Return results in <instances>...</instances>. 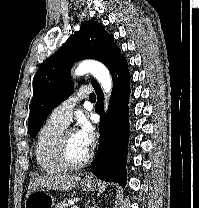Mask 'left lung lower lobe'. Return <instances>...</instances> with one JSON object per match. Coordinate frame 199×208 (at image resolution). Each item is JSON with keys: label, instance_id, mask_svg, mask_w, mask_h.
<instances>
[{"label": "left lung lower lobe", "instance_id": "1", "mask_svg": "<svg viewBox=\"0 0 199 208\" xmlns=\"http://www.w3.org/2000/svg\"><path fill=\"white\" fill-rule=\"evenodd\" d=\"M113 90L109 111H103V92L99 85L94 89L97 94L96 112L101 115V141L97 160L91 164V170L102 180L126 184L125 160L129 139L128 101L130 94V73L125 58L110 71Z\"/></svg>", "mask_w": 199, "mask_h": 208}]
</instances>
